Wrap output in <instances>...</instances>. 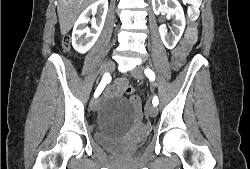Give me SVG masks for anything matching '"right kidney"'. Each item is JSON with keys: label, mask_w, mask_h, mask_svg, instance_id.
Listing matches in <instances>:
<instances>
[{"label": "right kidney", "mask_w": 250, "mask_h": 169, "mask_svg": "<svg viewBox=\"0 0 250 169\" xmlns=\"http://www.w3.org/2000/svg\"><path fill=\"white\" fill-rule=\"evenodd\" d=\"M107 10L108 0H95L93 4H89V6L81 12L74 24L72 32V44L75 50H78V52H87V50L95 44L104 26ZM89 14H97V16L91 18V28L86 26L90 20Z\"/></svg>", "instance_id": "1"}]
</instances>
